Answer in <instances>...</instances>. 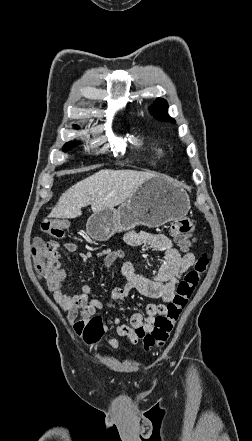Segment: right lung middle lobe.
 <instances>
[{"label":"right lung middle lobe","mask_w":252,"mask_h":441,"mask_svg":"<svg viewBox=\"0 0 252 441\" xmlns=\"http://www.w3.org/2000/svg\"><path fill=\"white\" fill-rule=\"evenodd\" d=\"M75 128H78V127L75 126ZM78 144H79V142H77V141H70V142L66 143L63 148L65 151H67V150H70L71 148L77 146Z\"/></svg>","instance_id":"right-lung-middle-lobe-1"}]
</instances>
